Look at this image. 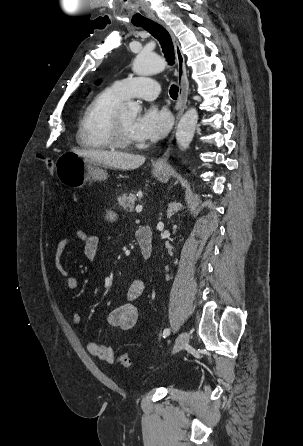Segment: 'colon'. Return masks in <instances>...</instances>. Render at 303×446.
Listing matches in <instances>:
<instances>
[{
  "label": "colon",
  "instance_id": "5ec220e1",
  "mask_svg": "<svg viewBox=\"0 0 303 446\" xmlns=\"http://www.w3.org/2000/svg\"><path fill=\"white\" fill-rule=\"evenodd\" d=\"M40 158L45 163V166L48 169V171L50 173H53L54 172L53 161L50 158L44 157V156H41ZM118 361H119L120 365H122L123 367H126V368L130 367V365H131V360L127 353L121 354L118 358Z\"/></svg>",
  "mask_w": 303,
  "mask_h": 446
}]
</instances>
